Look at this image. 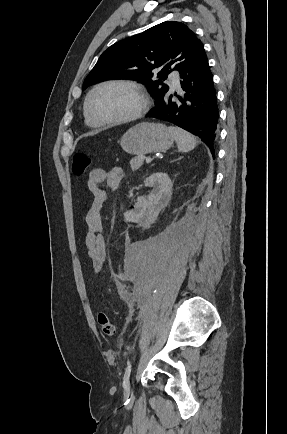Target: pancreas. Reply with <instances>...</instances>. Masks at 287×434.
Instances as JSON below:
<instances>
[{
    "mask_svg": "<svg viewBox=\"0 0 287 434\" xmlns=\"http://www.w3.org/2000/svg\"><path fill=\"white\" fill-rule=\"evenodd\" d=\"M144 159H145V157L143 155H139L137 157H134L130 161V167H131L132 171L138 170L143 165Z\"/></svg>",
    "mask_w": 287,
    "mask_h": 434,
    "instance_id": "1",
    "label": "pancreas"
}]
</instances>
